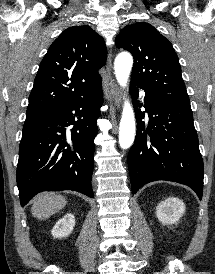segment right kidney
I'll return each instance as SVG.
<instances>
[{"label": "right kidney", "instance_id": "right-kidney-1", "mask_svg": "<svg viewBox=\"0 0 215 274\" xmlns=\"http://www.w3.org/2000/svg\"><path fill=\"white\" fill-rule=\"evenodd\" d=\"M75 217L73 214H67L62 219L58 220L52 229V235L56 238L67 237L74 228Z\"/></svg>", "mask_w": 215, "mask_h": 274}]
</instances>
